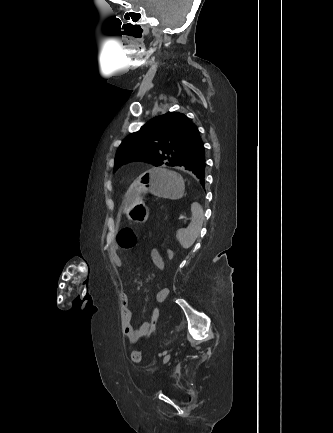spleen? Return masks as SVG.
<instances>
[{
	"instance_id": "spleen-1",
	"label": "spleen",
	"mask_w": 333,
	"mask_h": 433,
	"mask_svg": "<svg viewBox=\"0 0 333 433\" xmlns=\"http://www.w3.org/2000/svg\"><path fill=\"white\" fill-rule=\"evenodd\" d=\"M191 210V223L187 228L179 229L176 235L183 248H190L194 244L203 224V209L195 203L192 205Z\"/></svg>"
}]
</instances>
